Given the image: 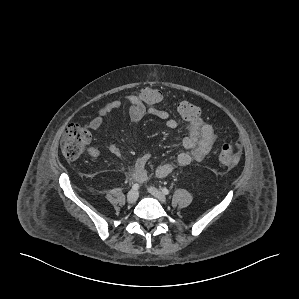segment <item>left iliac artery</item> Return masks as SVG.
<instances>
[{"mask_svg": "<svg viewBox=\"0 0 299 299\" xmlns=\"http://www.w3.org/2000/svg\"><path fill=\"white\" fill-rule=\"evenodd\" d=\"M162 192L165 194V195H168L169 194V190L167 188H162Z\"/></svg>", "mask_w": 299, "mask_h": 299, "instance_id": "44dca946", "label": "left iliac artery"}]
</instances>
